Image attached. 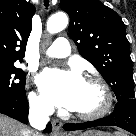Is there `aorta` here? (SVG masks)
I'll return each mask as SVG.
<instances>
[{
    "label": "aorta",
    "mask_w": 136,
    "mask_h": 136,
    "mask_svg": "<svg viewBox=\"0 0 136 136\" xmlns=\"http://www.w3.org/2000/svg\"><path fill=\"white\" fill-rule=\"evenodd\" d=\"M68 25V17L63 12H58L50 16L47 21V31L51 34L58 33Z\"/></svg>",
    "instance_id": "aorta-1"
}]
</instances>
